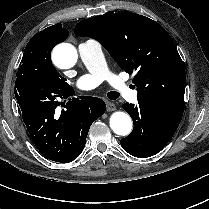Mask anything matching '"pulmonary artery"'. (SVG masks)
Returning <instances> with one entry per match:
<instances>
[{
    "label": "pulmonary artery",
    "mask_w": 209,
    "mask_h": 209,
    "mask_svg": "<svg viewBox=\"0 0 209 209\" xmlns=\"http://www.w3.org/2000/svg\"><path fill=\"white\" fill-rule=\"evenodd\" d=\"M78 54L89 72L78 79L76 86L79 89L92 90L107 79L120 97L129 102H137L138 91L131 90L118 76L108 73L99 41L89 39L81 42L78 45Z\"/></svg>",
    "instance_id": "pulmonary-artery-1"
}]
</instances>
